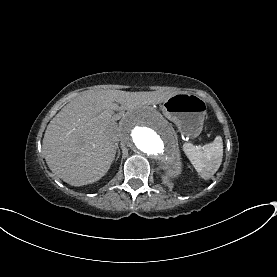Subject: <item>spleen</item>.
<instances>
[{
	"mask_svg": "<svg viewBox=\"0 0 277 277\" xmlns=\"http://www.w3.org/2000/svg\"><path fill=\"white\" fill-rule=\"evenodd\" d=\"M183 150L196 171L203 179H209L216 173L223 157V141L221 136H216L212 143L198 149L191 143H185Z\"/></svg>",
	"mask_w": 277,
	"mask_h": 277,
	"instance_id": "1",
	"label": "spleen"
}]
</instances>
